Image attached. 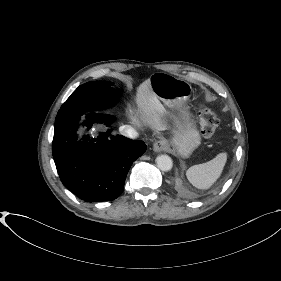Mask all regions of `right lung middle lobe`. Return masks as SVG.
I'll return each instance as SVG.
<instances>
[{
  "mask_svg": "<svg viewBox=\"0 0 281 281\" xmlns=\"http://www.w3.org/2000/svg\"><path fill=\"white\" fill-rule=\"evenodd\" d=\"M108 81L87 82L79 86L62 105L55 123L73 113L94 112L115 104L117 90Z\"/></svg>",
  "mask_w": 281,
  "mask_h": 281,
  "instance_id": "right-lung-middle-lobe-1",
  "label": "right lung middle lobe"
}]
</instances>
